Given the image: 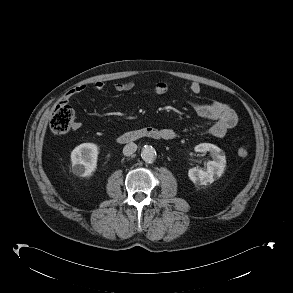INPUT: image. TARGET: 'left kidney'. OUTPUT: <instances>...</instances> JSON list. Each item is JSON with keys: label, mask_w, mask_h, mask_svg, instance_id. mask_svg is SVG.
Wrapping results in <instances>:
<instances>
[{"label": "left kidney", "mask_w": 293, "mask_h": 293, "mask_svg": "<svg viewBox=\"0 0 293 293\" xmlns=\"http://www.w3.org/2000/svg\"><path fill=\"white\" fill-rule=\"evenodd\" d=\"M196 152H210L213 160L207 162V170L191 168L188 171V177L194 184L207 185L220 177L226 166L224 152L216 145L210 143H201L195 147Z\"/></svg>", "instance_id": "left-kidney-1"}]
</instances>
